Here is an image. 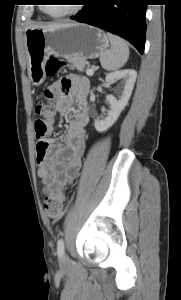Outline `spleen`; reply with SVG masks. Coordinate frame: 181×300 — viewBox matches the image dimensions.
<instances>
[{
  "label": "spleen",
  "mask_w": 181,
  "mask_h": 300,
  "mask_svg": "<svg viewBox=\"0 0 181 300\" xmlns=\"http://www.w3.org/2000/svg\"><path fill=\"white\" fill-rule=\"evenodd\" d=\"M111 48L104 51L100 56L102 67L107 71H115L125 65L129 57L127 43L117 35L107 33Z\"/></svg>",
  "instance_id": "obj_1"
}]
</instances>
